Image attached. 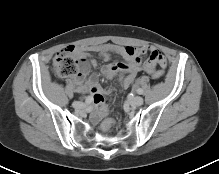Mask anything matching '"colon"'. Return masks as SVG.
I'll use <instances>...</instances> for the list:
<instances>
[{
  "instance_id": "1",
  "label": "colon",
  "mask_w": 219,
  "mask_h": 174,
  "mask_svg": "<svg viewBox=\"0 0 219 174\" xmlns=\"http://www.w3.org/2000/svg\"><path fill=\"white\" fill-rule=\"evenodd\" d=\"M79 64L77 59L72 54L71 48H64L57 52L53 60V70L59 77H68L77 73ZM153 79L160 81L164 77L163 70H158L153 73ZM114 126L112 119H107L102 123V130L109 131Z\"/></svg>"
}]
</instances>
